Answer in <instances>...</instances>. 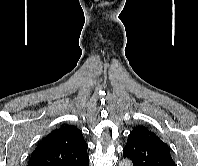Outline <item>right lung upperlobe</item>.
I'll use <instances>...</instances> for the list:
<instances>
[{
    "instance_id": "1",
    "label": "right lung upper lobe",
    "mask_w": 198,
    "mask_h": 166,
    "mask_svg": "<svg viewBox=\"0 0 198 166\" xmlns=\"http://www.w3.org/2000/svg\"><path fill=\"white\" fill-rule=\"evenodd\" d=\"M87 148L82 132L75 126L65 125L42 139L28 166H86Z\"/></svg>"
}]
</instances>
